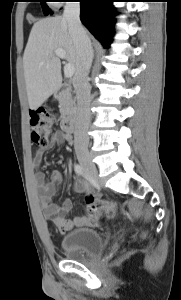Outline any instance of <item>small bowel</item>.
<instances>
[{
	"label": "small bowel",
	"instance_id": "small-bowel-1",
	"mask_svg": "<svg viewBox=\"0 0 181 300\" xmlns=\"http://www.w3.org/2000/svg\"><path fill=\"white\" fill-rule=\"evenodd\" d=\"M71 142L72 137L70 134L59 130L56 131L45 149H40L34 156V163L36 166H40L43 161L44 153L47 150L52 149L61 142ZM36 183L40 189V197L42 208L46 214V217L51 221L60 233H66L75 227L83 226H95L98 224L99 219L91 216H77L73 219H67L66 215L71 211L73 202L71 199H65L61 205L55 204L53 198L57 193L58 186L63 181V175L59 170H52L49 179L46 178V174L42 171H38L35 175ZM76 192H83L85 190L82 181L77 180L74 184ZM95 194L87 193L85 200L95 199Z\"/></svg>",
	"mask_w": 181,
	"mask_h": 300
}]
</instances>
